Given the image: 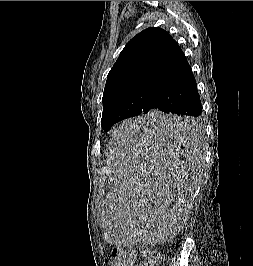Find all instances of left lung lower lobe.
Returning a JSON list of instances; mask_svg holds the SVG:
<instances>
[{
    "label": "left lung lower lobe",
    "mask_w": 253,
    "mask_h": 266,
    "mask_svg": "<svg viewBox=\"0 0 253 266\" xmlns=\"http://www.w3.org/2000/svg\"><path fill=\"white\" fill-rule=\"evenodd\" d=\"M159 109L190 118L169 122L146 119L144 130L171 140L198 133L193 118L201 115V101L191 67L175 40L163 54L147 88L142 113Z\"/></svg>",
    "instance_id": "left-lung-lower-lobe-1"
}]
</instances>
